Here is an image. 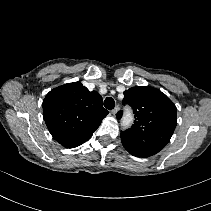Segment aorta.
<instances>
[{
  "instance_id": "obj_1",
  "label": "aorta",
  "mask_w": 211,
  "mask_h": 211,
  "mask_svg": "<svg viewBox=\"0 0 211 211\" xmlns=\"http://www.w3.org/2000/svg\"><path fill=\"white\" fill-rule=\"evenodd\" d=\"M130 123V117L126 118L124 121H123V126H126Z\"/></svg>"
}]
</instances>
